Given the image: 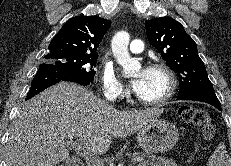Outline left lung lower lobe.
Here are the masks:
<instances>
[{
    "label": "left lung lower lobe",
    "mask_w": 231,
    "mask_h": 166,
    "mask_svg": "<svg viewBox=\"0 0 231 166\" xmlns=\"http://www.w3.org/2000/svg\"><path fill=\"white\" fill-rule=\"evenodd\" d=\"M177 100H192V101H201L213 105L218 110L222 111L221 104L216 97L214 92H191L184 95H181Z\"/></svg>",
    "instance_id": "1"
}]
</instances>
